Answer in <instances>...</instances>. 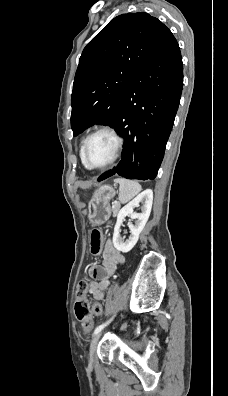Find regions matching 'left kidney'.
Here are the masks:
<instances>
[{"label": "left kidney", "instance_id": "obj_1", "mask_svg": "<svg viewBox=\"0 0 228 396\" xmlns=\"http://www.w3.org/2000/svg\"><path fill=\"white\" fill-rule=\"evenodd\" d=\"M152 202L153 192L148 189L139 194L119 211L113 233V244L117 250L127 253L135 246L138 241L139 234L142 232L150 216ZM139 203H142L143 205L141 212H133V209L137 207ZM126 216H131V218L135 220V224L129 225L131 235L129 236V239L124 241V238L120 235V227Z\"/></svg>", "mask_w": 228, "mask_h": 396}]
</instances>
